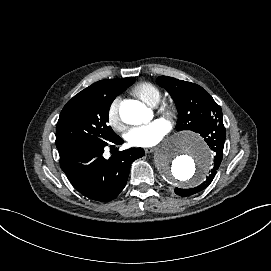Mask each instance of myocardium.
I'll use <instances>...</instances> for the list:
<instances>
[{
  "instance_id": "obj_1",
  "label": "myocardium",
  "mask_w": 271,
  "mask_h": 271,
  "mask_svg": "<svg viewBox=\"0 0 271 271\" xmlns=\"http://www.w3.org/2000/svg\"><path fill=\"white\" fill-rule=\"evenodd\" d=\"M158 114L173 123L178 116V107L173 102H163L158 108Z\"/></svg>"
}]
</instances>
